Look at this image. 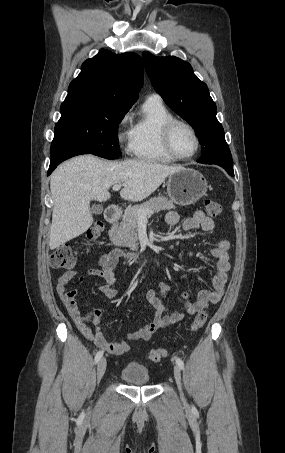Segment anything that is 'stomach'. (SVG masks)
Instances as JSON below:
<instances>
[{
    "label": "stomach",
    "instance_id": "stomach-1",
    "mask_svg": "<svg viewBox=\"0 0 285 453\" xmlns=\"http://www.w3.org/2000/svg\"><path fill=\"white\" fill-rule=\"evenodd\" d=\"M208 184L204 176L192 168H181L169 175L167 194L178 205L194 204L206 195Z\"/></svg>",
    "mask_w": 285,
    "mask_h": 453
}]
</instances>
